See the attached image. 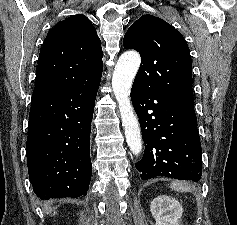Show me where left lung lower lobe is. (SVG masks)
Returning a JSON list of instances; mask_svg holds the SVG:
<instances>
[{"mask_svg": "<svg viewBox=\"0 0 237 225\" xmlns=\"http://www.w3.org/2000/svg\"><path fill=\"white\" fill-rule=\"evenodd\" d=\"M131 100L145 143L144 155L136 163L141 179L167 176L199 181L202 149L194 98L147 92L133 84Z\"/></svg>", "mask_w": 237, "mask_h": 225, "instance_id": "obj_1", "label": "left lung lower lobe"}]
</instances>
